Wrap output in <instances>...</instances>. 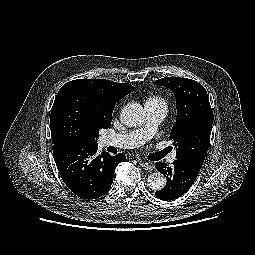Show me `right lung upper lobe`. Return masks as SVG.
I'll return each mask as SVG.
<instances>
[{
    "label": "right lung upper lobe",
    "mask_w": 255,
    "mask_h": 255,
    "mask_svg": "<svg viewBox=\"0 0 255 255\" xmlns=\"http://www.w3.org/2000/svg\"><path fill=\"white\" fill-rule=\"evenodd\" d=\"M74 90L86 93L92 99L98 113L107 118L112 117L116 102L132 92L134 87L127 83L104 79H77L64 84L55 100Z\"/></svg>",
    "instance_id": "1"
}]
</instances>
